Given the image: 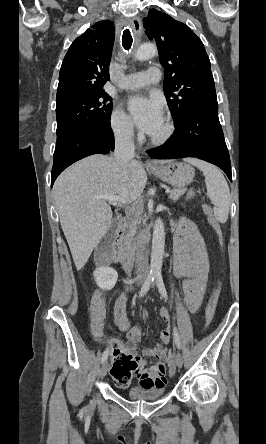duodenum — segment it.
<instances>
[{"instance_id": "obj_1", "label": "duodenum", "mask_w": 266, "mask_h": 444, "mask_svg": "<svg viewBox=\"0 0 266 444\" xmlns=\"http://www.w3.org/2000/svg\"><path fill=\"white\" fill-rule=\"evenodd\" d=\"M114 246L117 263L122 267L125 274L131 275L134 272L133 256L125 247L124 222L122 219L117 221Z\"/></svg>"}]
</instances>
